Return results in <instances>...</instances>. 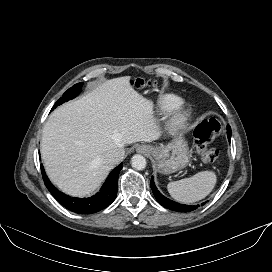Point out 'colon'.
Here are the masks:
<instances>
[{"label": "colon", "instance_id": "colon-1", "mask_svg": "<svg viewBox=\"0 0 272 272\" xmlns=\"http://www.w3.org/2000/svg\"><path fill=\"white\" fill-rule=\"evenodd\" d=\"M150 83L138 79L135 82L137 87H145ZM222 125L215 118L207 119L199 123L193 133L195 148L205 163H213L219 155V151L215 147L209 145L221 134Z\"/></svg>", "mask_w": 272, "mask_h": 272}]
</instances>
